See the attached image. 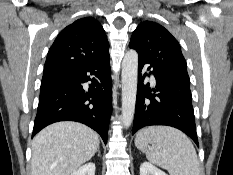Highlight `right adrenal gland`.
<instances>
[{
    "mask_svg": "<svg viewBox=\"0 0 233 175\" xmlns=\"http://www.w3.org/2000/svg\"><path fill=\"white\" fill-rule=\"evenodd\" d=\"M97 152H98V155L100 156L101 153H100V147H99V146H98V148H97Z\"/></svg>",
    "mask_w": 233,
    "mask_h": 175,
    "instance_id": "right-adrenal-gland-1",
    "label": "right adrenal gland"
}]
</instances>
